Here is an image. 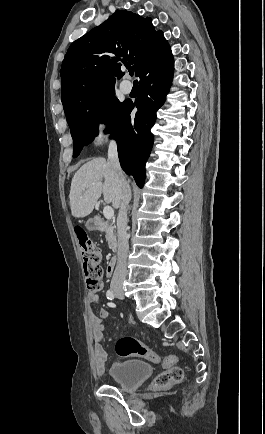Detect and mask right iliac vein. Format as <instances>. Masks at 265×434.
I'll return each mask as SVG.
<instances>
[{"label":"right iliac vein","instance_id":"right-iliac-vein-1","mask_svg":"<svg viewBox=\"0 0 265 434\" xmlns=\"http://www.w3.org/2000/svg\"><path fill=\"white\" fill-rule=\"evenodd\" d=\"M115 291H122V289L121 288H116Z\"/></svg>","mask_w":265,"mask_h":434}]
</instances>
